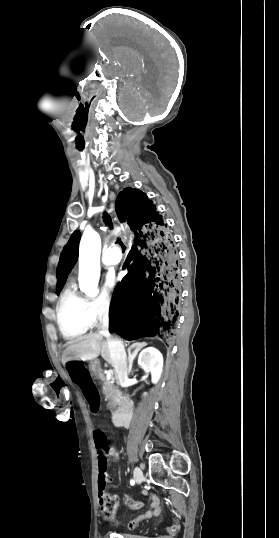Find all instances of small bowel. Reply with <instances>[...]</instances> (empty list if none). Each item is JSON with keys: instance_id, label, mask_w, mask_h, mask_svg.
Here are the masks:
<instances>
[{"instance_id": "c3829d8e", "label": "small bowel", "mask_w": 279, "mask_h": 538, "mask_svg": "<svg viewBox=\"0 0 279 538\" xmlns=\"http://www.w3.org/2000/svg\"><path fill=\"white\" fill-rule=\"evenodd\" d=\"M110 457H112L114 459H118V453L113 448H111ZM123 502L127 507H129L130 509H133V510L141 509L144 506L143 502L135 501V500L131 499L130 497H128L127 495H125L123 497ZM159 512H160V502L156 497H154L153 501H152V504L150 506V509L145 514L135 516L128 523V528L129 529L135 528L140 521H142L144 519H147V518H149L151 516H156V515L159 514ZM111 521H114V518Z\"/></svg>"}]
</instances>
